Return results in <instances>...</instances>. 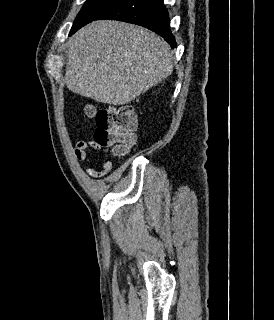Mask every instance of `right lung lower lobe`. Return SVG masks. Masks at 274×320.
Listing matches in <instances>:
<instances>
[{
    "label": "right lung lower lobe",
    "mask_w": 274,
    "mask_h": 320,
    "mask_svg": "<svg viewBox=\"0 0 274 320\" xmlns=\"http://www.w3.org/2000/svg\"><path fill=\"white\" fill-rule=\"evenodd\" d=\"M99 19L119 20L143 26L162 36L172 48L176 47L163 0H122L95 20ZM76 31L71 32V35Z\"/></svg>",
    "instance_id": "98d812e1"
}]
</instances>
